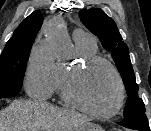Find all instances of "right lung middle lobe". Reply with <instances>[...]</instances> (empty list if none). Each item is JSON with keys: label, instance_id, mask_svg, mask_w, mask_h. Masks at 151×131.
Listing matches in <instances>:
<instances>
[{"label": "right lung middle lobe", "instance_id": "dd1d6c3e", "mask_svg": "<svg viewBox=\"0 0 151 131\" xmlns=\"http://www.w3.org/2000/svg\"><path fill=\"white\" fill-rule=\"evenodd\" d=\"M31 47L4 48L0 56V98L14 97L21 90Z\"/></svg>", "mask_w": 151, "mask_h": 131}]
</instances>
